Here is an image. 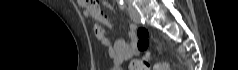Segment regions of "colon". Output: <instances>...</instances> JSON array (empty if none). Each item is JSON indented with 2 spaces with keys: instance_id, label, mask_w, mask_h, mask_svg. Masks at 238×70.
Returning <instances> with one entry per match:
<instances>
[{
  "instance_id": "colon-1",
  "label": "colon",
  "mask_w": 238,
  "mask_h": 70,
  "mask_svg": "<svg viewBox=\"0 0 238 70\" xmlns=\"http://www.w3.org/2000/svg\"><path fill=\"white\" fill-rule=\"evenodd\" d=\"M90 2L99 3L98 0H91ZM149 31L144 28L140 27L136 30V37H137V47L140 51H144L149 46ZM170 64L169 63H158L155 66V70H169ZM131 70H149L150 69V62L146 59L142 60H134L130 63Z\"/></svg>"
}]
</instances>
